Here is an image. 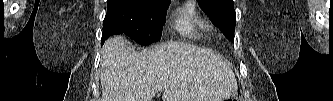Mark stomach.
I'll use <instances>...</instances> for the list:
<instances>
[{
	"label": "stomach",
	"mask_w": 333,
	"mask_h": 101,
	"mask_svg": "<svg viewBox=\"0 0 333 101\" xmlns=\"http://www.w3.org/2000/svg\"><path fill=\"white\" fill-rule=\"evenodd\" d=\"M234 100H236L234 97H229V98L225 99V101H234Z\"/></svg>",
	"instance_id": "1"
}]
</instances>
